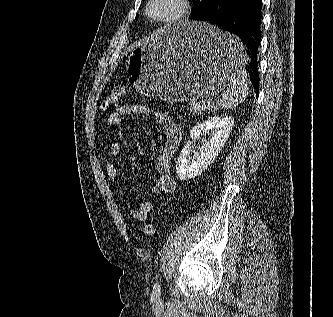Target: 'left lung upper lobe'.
I'll return each mask as SVG.
<instances>
[{
  "mask_svg": "<svg viewBox=\"0 0 333 317\" xmlns=\"http://www.w3.org/2000/svg\"><path fill=\"white\" fill-rule=\"evenodd\" d=\"M193 3L192 14H196L206 8L212 0H191Z\"/></svg>",
  "mask_w": 333,
  "mask_h": 317,
  "instance_id": "obj_1",
  "label": "left lung upper lobe"
}]
</instances>
